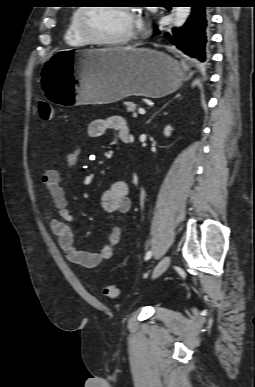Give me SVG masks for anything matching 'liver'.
Here are the masks:
<instances>
[{"instance_id":"6515ba94","label":"liver","mask_w":255,"mask_h":387,"mask_svg":"<svg viewBox=\"0 0 255 387\" xmlns=\"http://www.w3.org/2000/svg\"><path fill=\"white\" fill-rule=\"evenodd\" d=\"M131 47H126V48H123V49H102V50H128L130 49Z\"/></svg>"}]
</instances>
